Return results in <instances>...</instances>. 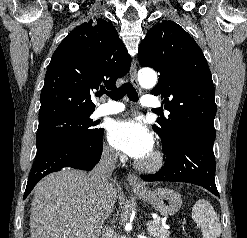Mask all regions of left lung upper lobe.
Returning <instances> with one entry per match:
<instances>
[{
    "instance_id": "obj_1",
    "label": "left lung upper lobe",
    "mask_w": 247,
    "mask_h": 238,
    "mask_svg": "<svg viewBox=\"0 0 247 238\" xmlns=\"http://www.w3.org/2000/svg\"><path fill=\"white\" fill-rule=\"evenodd\" d=\"M138 59L160 73L151 94L161 96L170 115L152 128L163 146L183 135L213 145L215 90L204 54L191 35L173 21H162L140 43Z\"/></svg>"
}]
</instances>
